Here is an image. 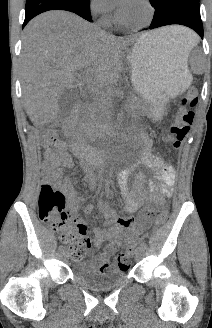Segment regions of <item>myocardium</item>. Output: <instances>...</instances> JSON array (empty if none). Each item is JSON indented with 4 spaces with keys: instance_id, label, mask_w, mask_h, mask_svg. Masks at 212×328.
Returning <instances> with one entry per match:
<instances>
[{
    "instance_id": "f54148a6",
    "label": "myocardium",
    "mask_w": 212,
    "mask_h": 328,
    "mask_svg": "<svg viewBox=\"0 0 212 328\" xmlns=\"http://www.w3.org/2000/svg\"><path fill=\"white\" fill-rule=\"evenodd\" d=\"M140 1L147 8V11H148L147 21L145 23H132V22L127 21L123 17L122 12H118L117 19L121 25H123L124 27L129 28V29L137 30V29L144 28L152 20V18L154 17L155 9H154V6H153L151 0H140Z\"/></svg>"
}]
</instances>
